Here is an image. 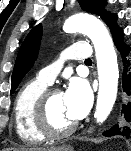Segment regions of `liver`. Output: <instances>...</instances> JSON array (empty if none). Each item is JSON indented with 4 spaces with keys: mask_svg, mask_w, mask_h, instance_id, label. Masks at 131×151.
Segmentation results:
<instances>
[{
    "mask_svg": "<svg viewBox=\"0 0 131 151\" xmlns=\"http://www.w3.org/2000/svg\"><path fill=\"white\" fill-rule=\"evenodd\" d=\"M58 150V148H37V149H30V151H57Z\"/></svg>",
    "mask_w": 131,
    "mask_h": 151,
    "instance_id": "obj_1",
    "label": "liver"
}]
</instances>
